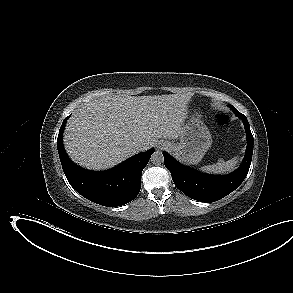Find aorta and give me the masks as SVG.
<instances>
[{"label":"aorta","instance_id":"obj_1","mask_svg":"<svg viewBox=\"0 0 293 293\" xmlns=\"http://www.w3.org/2000/svg\"><path fill=\"white\" fill-rule=\"evenodd\" d=\"M164 161V157H163V154L159 151H156L154 152L152 155H151V162L154 164V165H160L162 164Z\"/></svg>","mask_w":293,"mask_h":293}]
</instances>
